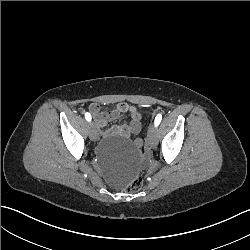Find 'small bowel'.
<instances>
[{"label": "small bowel", "mask_w": 250, "mask_h": 250, "mask_svg": "<svg viewBox=\"0 0 250 250\" xmlns=\"http://www.w3.org/2000/svg\"><path fill=\"white\" fill-rule=\"evenodd\" d=\"M133 110H137L134 106L120 103L111 111L102 112L98 104H91L89 106L90 113L94 116L95 122L98 128L105 127L109 122L118 118V116L122 113H130ZM141 130V122H133L130 121L129 124L123 125H115L113 126L109 132L111 135H118L123 138H130L132 136L137 135Z\"/></svg>", "instance_id": "obj_1"}]
</instances>
